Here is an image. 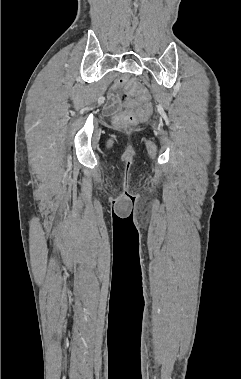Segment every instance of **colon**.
<instances>
[{
  "mask_svg": "<svg viewBox=\"0 0 241 379\" xmlns=\"http://www.w3.org/2000/svg\"><path fill=\"white\" fill-rule=\"evenodd\" d=\"M122 82V80H121ZM142 97L144 98H139L138 103L135 101L130 100L127 96L125 95H120L119 100L120 104L127 109L124 113L119 115L115 123L118 125H131L136 123L139 118L145 116L148 114V110H154L155 109V104L154 103H147V94L145 92H141ZM146 104V107H142L141 105Z\"/></svg>",
  "mask_w": 241,
  "mask_h": 379,
  "instance_id": "1",
  "label": "colon"
}]
</instances>
